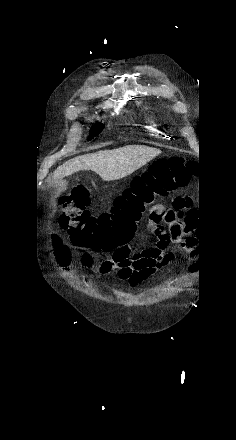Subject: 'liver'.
Segmentation results:
<instances>
[{"label": "liver", "mask_w": 236, "mask_h": 440, "mask_svg": "<svg viewBox=\"0 0 236 440\" xmlns=\"http://www.w3.org/2000/svg\"><path fill=\"white\" fill-rule=\"evenodd\" d=\"M160 153L159 149L141 145L98 151L66 161L55 170L53 177L62 179L80 170H92L104 181L119 180L132 174Z\"/></svg>", "instance_id": "1"}]
</instances>
